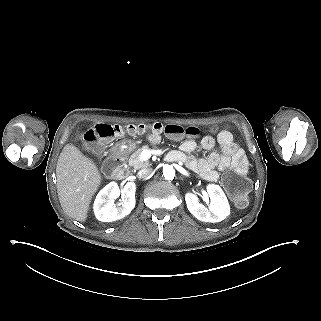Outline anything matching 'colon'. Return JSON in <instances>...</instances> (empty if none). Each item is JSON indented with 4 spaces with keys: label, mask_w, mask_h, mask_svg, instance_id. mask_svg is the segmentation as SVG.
<instances>
[{
    "label": "colon",
    "mask_w": 321,
    "mask_h": 321,
    "mask_svg": "<svg viewBox=\"0 0 321 321\" xmlns=\"http://www.w3.org/2000/svg\"><path fill=\"white\" fill-rule=\"evenodd\" d=\"M150 130L154 134L165 133L171 137H180L183 135L196 137L199 129L195 126L183 128L176 124L162 125L154 123L152 125H127L100 123L92 129H89L84 135V144L91 151H100L104 143L112 138L123 135H140ZM223 187L231 196L235 203L244 206L248 202V193L250 189V180L245 172L232 171L224 175Z\"/></svg>",
    "instance_id": "obj_1"
}]
</instances>
